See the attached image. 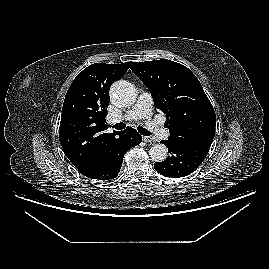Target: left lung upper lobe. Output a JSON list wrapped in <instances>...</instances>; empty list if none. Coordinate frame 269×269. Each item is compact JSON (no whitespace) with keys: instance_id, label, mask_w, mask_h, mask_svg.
Listing matches in <instances>:
<instances>
[{"instance_id":"1","label":"left lung upper lobe","mask_w":269,"mask_h":269,"mask_svg":"<svg viewBox=\"0 0 269 269\" xmlns=\"http://www.w3.org/2000/svg\"><path fill=\"white\" fill-rule=\"evenodd\" d=\"M131 69L150 90L156 108L166 114L169 141L211 146L215 111L190 69L170 60L133 62Z\"/></svg>"}]
</instances>
